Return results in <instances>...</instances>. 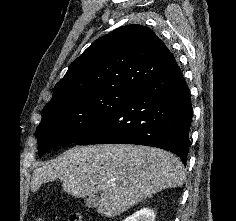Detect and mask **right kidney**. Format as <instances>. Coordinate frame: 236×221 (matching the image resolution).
Listing matches in <instances>:
<instances>
[{"label":"right kidney","mask_w":236,"mask_h":221,"mask_svg":"<svg viewBox=\"0 0 236 221\" xmlns=\"http://www.w3.org/2000/svg\"><path fill=\"white\" fill-rule=\"evenodd\" d=\"M123 221H155V213L149 208H143Z\"/></svg>","instance_id":"right-kidney-1"}]
</instances>
